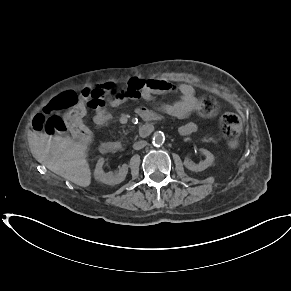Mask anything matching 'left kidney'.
I'll return each mask as SVG.
<instances>
[{"label":"left kidney","mask_w":291,"mask_h":291,"mask_svg":"<svg viewBox=\"0 0 291 291\" xmlns=\"http://www.w3.org/2000/svg\"><path fill=\"white\" fill-rule=\"evenodd\" d=\"M200 151L206 156V159L204 161H200L199 164H195L191 160L186 158L184 161V165L187 169L194 172H201L212 165L214 161L213 154L206 149H201Z\"/></svg>","instance_id":"left-kidney-1"}]
</instances>
